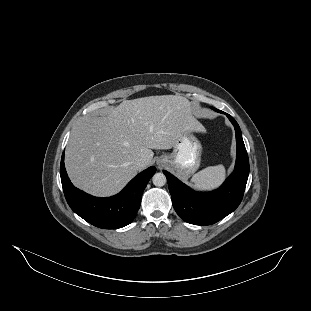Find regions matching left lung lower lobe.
<instances>
[{"label":"left lung lower lobe","mask_w":311,"mask_h":311,"mask_svg":"<svg viewBox=\"0 0 311 311\" xmlns=\"http://www.w3.org/2000/svg\"><path fill=\"white\" fill-rule=\"evenodd\" d=\"M224 113L234 126L237 157L233 173L223 185L207 193L191 190L173 175L163 171L167 177L172 203L177 214L186 222L195 225H210L233 212L240 204L245 191L249 159L239 125L229 114Z\"/></svg>","instance_id":"obj_1"}]
</instances>
